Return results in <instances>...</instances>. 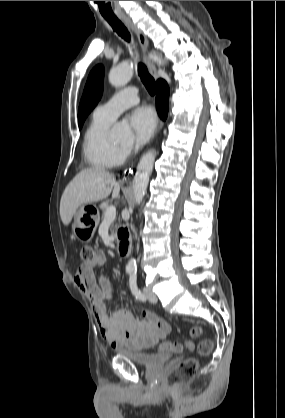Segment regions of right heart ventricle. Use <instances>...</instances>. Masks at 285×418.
<instances>
[{"mask_svg":"<svg viewBox=\"0 0 285 418\" xmlns=\"http://www.w3.org/2000/svg\"><path fill=\"white\" fill-rule=\"evenodd\" d=\"M111 123L93 116L86 131L83 152L89 165L95 169H107L123 160L120 148L108 137Z\"/></svg>","mask_w":285,"mask_h":418,"instance_id":"e07e8e85","label":"right heart ventricle"}]
</instances>
